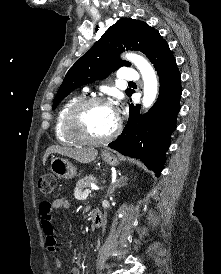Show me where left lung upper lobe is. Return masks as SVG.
<instances>
[{
	"label": "left lung upper lobe",
	"instance_id": "1",
	"mask_svg": "<svg viewBox=\"0 0 221 274\" xmlns=\"http://www.w3.org/2000/svg\"><path fill=\"white\" fill-rule=\"evenodd\" d=\"M165 43L159 32L143 21L131 18L118 20L67 72L55 96L53 109L76 88L104 79L122 66H130L129 62L119 58L125 49L141 51L150 59ZM132 93L133 90H126L128 96Z\"/></svg>",
	"mask_w": 221,
	"mask_h": 274
}]
</instances>
